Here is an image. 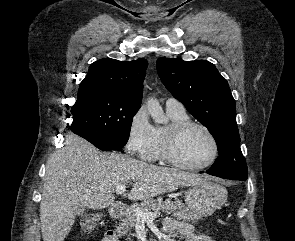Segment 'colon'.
I'll list each match as a JSON object with an SVG mask.
<instances>
[{
    "instance_id": "1",
    "label": "colon",
    "mask_w": 295,
    "mask_h": 241,
    "mask_svg": "<svg viewBox=\"0 0 295 241\" xmlns=\"http://www.w3.org/2000/svg\"><path fill=\"white\" fill-rule=\"evenodd\" d=\"M98 222V218L96 216H88L83 222V229L85 232H91Z\"/></svg>"
}]
</instances>
